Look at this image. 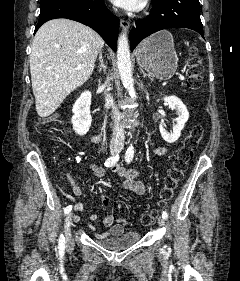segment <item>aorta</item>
I'll list each match as a JSON object with an SVG mask.
<instances>
[{
    "label": "aorta",
    "mask_w": 240,
    "mask_h": 281,
    "mask_svg": "<svg viewBox=\"0 0 240 281\" xmlns=\"http://www.w3.org/2000/svg\"><path fill=\"white\" fill-rule=\"evenodd\" d=\"M117 65L121 81L132 98L136 97L133 84L130 49L126 33H121L117 42Z\"/></svg>",
    "instance_id": "762f6f07"
}]
</instances>
